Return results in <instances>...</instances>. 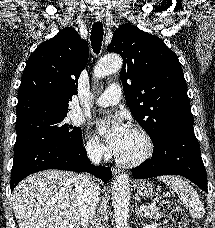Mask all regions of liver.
<instances>
[{
	"label": "liver",
	"instance_id": "6515ba94",
	"mask_svg": "<svg viewBox=\"0 0 215 228\" xmlns=\"http://www.w3.org/2000/svg\"><path fill=\"white\" fill-rule=\"evenodd\" d=\"M75 176L44 170L22 180L11 198L19 228H80Z\"/></svg>",
	"mask_w": 215,
	"mask_h": 228
}]
</instances>
